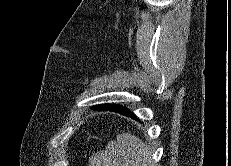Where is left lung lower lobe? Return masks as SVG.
Wrapping results in <instances>:
<instances>
[{
  "label": "left lung lower lobe",
  "mask_w": 231,
  "mask_h": 166,
  "mask_svg": "<svg viewBox=\"0 0 231 166\" xmlns=\"http://www.w3.org/2000/svg\"><path fill=\"white\" fill-rule=\"evenodd\" d=\"M96 110H102V111H113L117 112L119 114L129 116L133 119L137 120V117L134 113L130 112L126 107H122L120 105H113V104H100L92 107Z\"/></svg>",
  "instance_id": "1"
}]
</instances>
